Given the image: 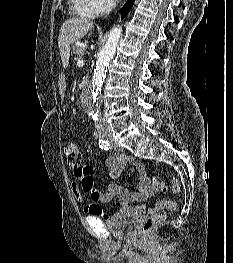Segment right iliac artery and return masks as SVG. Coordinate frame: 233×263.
<instances>
[{"label": "right iliac artery", "mask_w": 233, "mask_h": 263, "mask_svg": "<svg viewBox=\"0 0 233 263\" xmlns=\"http://www.w3.org/2000/svg\"><path fill=\"white\" fill-rule=\"evenodd\" d=\"M99 147L103 150H109L110 149V144L109 142L103 140V139H99Z\"/></svg>", "instance_id": "obj_1"}]
</instances>
